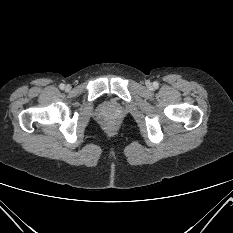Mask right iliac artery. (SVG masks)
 <instances>
[{"instance_id": "82829eb1", "label": "right iliac artery", "mask_w": 233, "mask_h": 233, "mask_svg": "<svg viewBox=\"0 0 233 233\" xmlns=\"http://www.w3.org/2000/svg\"><path fill=\"white\" fill-rule=\"evenodd\" d=\"M60 89L63 90L65 88V85L64 84H60Z\"/></svg>"}]
</instances>
